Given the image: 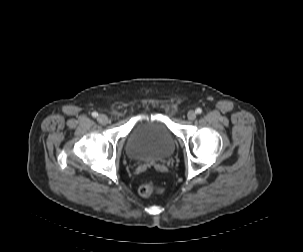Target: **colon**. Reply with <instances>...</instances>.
<instances>
[{"label": "colon", "mask_w": 303, "mask_h": 252, "mask_svg": "<svg viewBox=\"0 0 303 252\" xmlns=\"http://www.w3.org/2000/svg\"><path fill=\"white\" fill-rule=\"evenodd\" d=\"M139 192L143 197H150L153 195L162 194L164 192V189L163 187L157 186L156 184L150 181L142 184L140 186Z\"/></svg>", "instance_id": "colon-1"}]
</instances>
